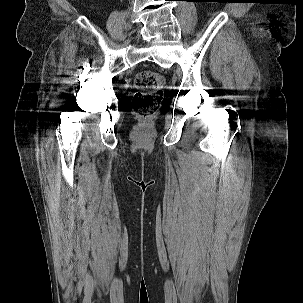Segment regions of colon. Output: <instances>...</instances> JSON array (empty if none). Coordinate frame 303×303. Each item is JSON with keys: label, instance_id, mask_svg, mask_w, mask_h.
Segmentation results:
<instances>
[{"label": "colon", "instance_id": "obj_1", "mask_svg": "<svg viewBox=\"0 0 303 303\" xmlns=\"http://www.w3.org/2000/svg\"><path fill=\"white\" fill-rule=\"evenodd\" d=\"M135 87L134 105L145 118L166 102L164 78L157 72H140L135 79Z\"/></svg>", "mask_w": 303, "mask_h": 303}]
</instances>
